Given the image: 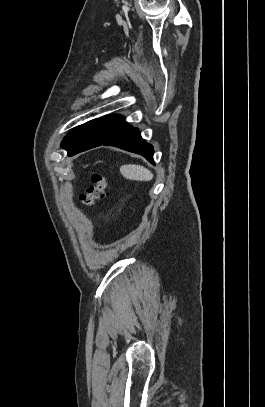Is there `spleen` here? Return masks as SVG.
<instances>
[{"label":"spleen","instance_id":"1","mask_svg":"<svg viewBox=\"0 0 265 407\" xmlns=\"http://www.w3.org/2000/svg\"><path fill=\"white\" fill-rule=\"evenodd\" d=\"M120 172L126 179L129 180L150 181L153 179V173L141 165H123L120 167Z\"/></svg>","mask_w":265,"mask_h":407}]
</instances>
